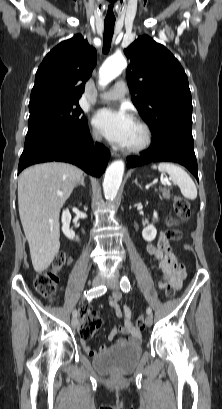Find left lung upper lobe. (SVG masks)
I'll return each instance as SVG.
<instances>
[{
    "mask_svg": "<svg viewBox=\"0 0 222 409\" xmlns=\"http://www.w3.org/2000/svg\"><path fill=\"white\" fill-rule=\"evenodd\" d=\"M127 81L132 102L152 135L167 127L192 129L188 78L178 60L163 45L141 36L127 49Z\"/></svg>",
    "mask_w": 222,
    "mask_h": 409,
    "instance_id": "5c2ea615",
    "label": "left lung upper lobe"
}]
</instances>
